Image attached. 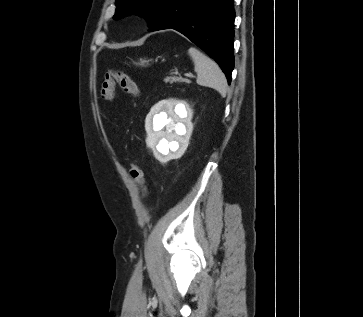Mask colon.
I'll return each instance as SVG.
<instances>
[{
	"label": "colon",
	"instance_id": "obj_1",
	"mask_svg": "<svg viewBox=\"0 0 363 317\" xmlns=\"http://www.w3.org/2000/svg\"><path fill=\"white\" fill-rule=\"evenodd\" d=\"M116 84H118L126 94L130 96L138 95L139 91L135 81L128 74L112 69L106 73L102 82L101 96L103 99L109 101L113 99ZM129 173L132 180L142 188L143 195L145 196L146 190L144 186L143 169L138 164H132Z\"/></svg>",
	"mask_w": 363,
	"mask_h": 317
}]
</instances>
